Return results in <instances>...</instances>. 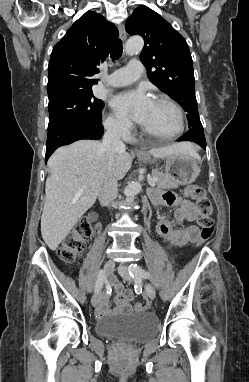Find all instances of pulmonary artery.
<instances>
[{"label":"pulmonary artery","mask_w":249,"mask_h":382,"mask_svg":"<svg viewBox=\"0 0 249 382\" xmlns=\"http://www.w3.org/2000/svg\"><path fill=\"white\" fill-rule=\"evenodd\" d=\"M142 73L143 64L138 60H132L125 67L111 74L108 78V84L112 87L126 86L139 79Z\"/></svg>","instance_id":"obj_1"}]
</instances>
